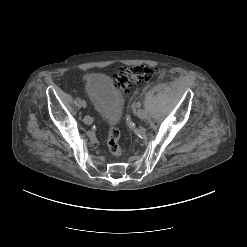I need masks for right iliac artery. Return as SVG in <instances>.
Wrapping results in <instances>:
<instances>
[{"mask_svg": "<svg viewBox=\"0 0 247 247\" xmlns=\"http://www.w3.org/2000/svg\"><path fill=\"white\" fill-rule=\"evenodd\" d=\"M79 106H80L81 108H83V109H86V108L88 107V104H87L85 101H81V102L79 103Z\"/></svg>", "mask_w": 247, "mask_h": 247, "instance_id": "obj_1", "label": "right iliac artery"}]
</instances>
